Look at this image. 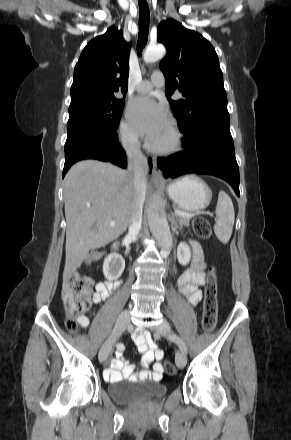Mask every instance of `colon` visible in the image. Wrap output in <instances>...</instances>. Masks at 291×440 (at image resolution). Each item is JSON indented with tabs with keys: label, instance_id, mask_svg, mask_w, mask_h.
Returning <instances> with one entry per match:
<instances>
[{
	"label": "colon",
	"instance_id": "1",
	"mask_svg": "<svg viewBox=\"0 0 291 440\" xmlns=\"http://www.w3.org/2000/svg\"><path fill=\"white\" fill-rule=\"evenodd\" d=\"M193 232L201 239H208L212 234L211 226L204 217H197L194 220ZM208 274L209 283L206 287L202 318V327L207 332L215 327L218 311L213 268L209 269ZM93 289V279L85 275H76L69 283L63 286L61 298L64 304V312L67 316L66 327L71 332L77 331L80 325L78 318L85 316L90 310ZM164 368L168 374L176 372L175 365L169 360L164 361Z\"/></svg>",
	"mask_w": 291,
	"mask_h": 440
}]
</instances>
